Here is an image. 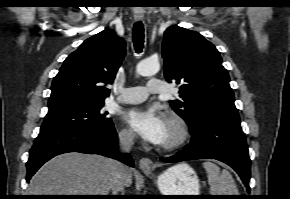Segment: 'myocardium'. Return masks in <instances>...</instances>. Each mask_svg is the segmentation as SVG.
I'll return each mask as SVG.
<instances>
[{
    "label": "myocardium",
    "mask_w": 290,
    "mask_h": 199,
    "mask_svg": "<svg viewBox=\"0 0 290 199\" xmlns=\"http://www.w3.org/2000/svg\"><path fill=\"white\" fill-rule=\"evenodd\" d=\"M166 120L176 131V137L169 143L160 145L159 149L164 152H171L183 147L190 138V129L187 122L176 113H168Z\"/></svg>",
    "instance_id": "obj_1"
}]
</instances>
